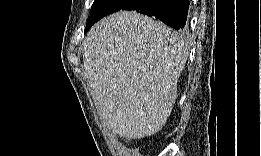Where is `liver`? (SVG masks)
I'll list each match as a JSON object with an SVG mask.
<instances>
[{"label":"liver","instance_id":"liver-1","mask_svg":"<svg viewBox=\"0 0 261 156\" xmlns=\"http://www.w3.org/2000/svg\"><path fill=\"white\" fill-rule=\"evenodd\" d=\"M82 46L102 120L129 140L159 132L176 100L187 42L160 21L119 11L97 22Z\"/></svg>","mask_w":261,"mask_h":156}]
</instances>
